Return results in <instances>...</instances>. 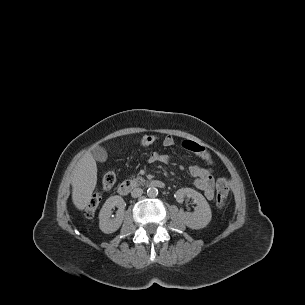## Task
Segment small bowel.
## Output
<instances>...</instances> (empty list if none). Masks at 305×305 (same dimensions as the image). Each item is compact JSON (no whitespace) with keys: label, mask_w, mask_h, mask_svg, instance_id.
<instances>
[{"label":"small bowel","mask_w":305,"mask_h":305,"mask_svg":"<svg viewBox=\"0 0 305 305\" xmlns=\"http://www.w3.org/2000/svg\"><path fill=\"white\" fill-rule=\"evenodd\" d=\"M175 144V138L172 135H167L163 139V145L165 147H172ZM182 146L187 151H190L201 158L208 165L212 164V157L209 152L191 140H185L182 143ZM170 160L169 155L161 154L158 152H152L148 157L149 163H168ZM189 172L194 179V185L196 188L201 190L206 197L207 200H212L214 198V187H215V179L212 174V169L210 167H201L198 165H193L190 167Z\"/></svg>","instance_id":"obj_1"}]
</instances>
